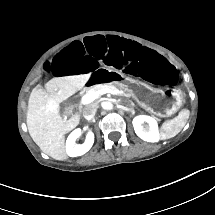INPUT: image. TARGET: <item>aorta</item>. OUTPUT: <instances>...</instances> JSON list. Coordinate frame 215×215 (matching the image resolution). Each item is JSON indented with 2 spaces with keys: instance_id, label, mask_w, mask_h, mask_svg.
<instances>
[{
  "instance_id": "762f6f07",
  "label": "aorta",
  "mask_w": 215,
  "mask_h": 215,
  "mask_svg": "<svg viewBox=\"0 0 215 215\" xmlns=\"http://www.w3.org/2000/svg\"><path fill=\"white\" fill-rule=\"evenodd\" d=\"M110 105H111V104H110L109 102H102V103H101V107L104 108V109H109V108H110Z\"/></svg>"
}]
</instances>
